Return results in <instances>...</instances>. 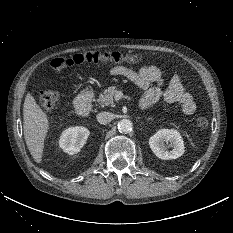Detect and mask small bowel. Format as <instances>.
Instances as JSON below:
<instances>
[{"label":"small bowel","instance_id":"1","mask_svg":"<svg viewBox=\"0 0 233 233\" xmlns=\"http://www.w3.org/2000/svg\"><path fill=\"white\" fill-rule=\"evenodd\" d=\"M112 76H123L145 90L140 100L142 109L156 103L161 97L169 104H179L184 114L192 115L196 111V103L192 94L186 91L178 75H172L168 86L164 89V73L155 65H144L138 71L118 65L109 70Z\"/></svg>","mask_w":233,"mask_h":233}]
</instances>
